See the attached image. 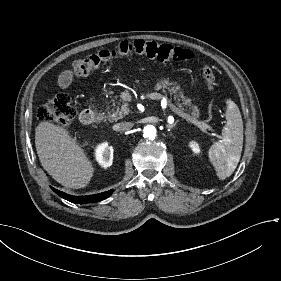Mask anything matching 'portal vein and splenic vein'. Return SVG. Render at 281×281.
Returning <instances> with one entry per match:
<instances>
[{"mask_svg": "<svg viewBox=\"0 0 281 281\" xmlns=\"http://www.w3.org/2000/svg\"><path fill=\"white\" fill-rule=\"evenodd\" d=\"M140 95L142 96L141 97L142 100L145 101V102L151 101V100L159 101L163 97L162 94L159 93V92H154V93L148 92V93H145L143 95L142 94H140ZM168 105L172 108V110L176 114L182 116V119L186 123H190V124L194 125L195 127L200 128L204 132H207L208 130H211V132H213V134H216V131H214V129L224 126V121H221V124H218V125H215V126L210 125V127H209L207 125H204L203 123H201V121H198L197 119H193V117L191 116V114L189 112H186L183 109H178L176 104L173 103L170 99H169ZM214 138L216 139L217 143H220V139L218 138V135H214Z\"/></svg>", "mask_w": 281, "mask_h": 281, "instance_id": "portal-vein-and-splenic-vein-1", "label": "portal vein and splenic vein"}]
</instances>
